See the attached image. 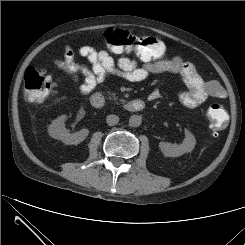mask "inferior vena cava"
<instances>
[{
	"label": "inferior vena cava",
	"mask_w": 245,
	"mask_h": 245,
	"mask_svg": "<svg viewBox=\"0 0 245 245\" xmlns=\"http://www.w3.org/2000/svg\"><path fill=\"white\" fill-rule=\"evenodd\" d=\"M106 122L109 126L116 125L119 122V117L114 114L108 115L106 118Z\"/></svg>",
	"instance_id": "602c4592"
}]
</instances>
